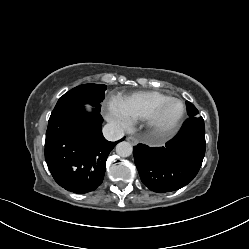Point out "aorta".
I'll return each mask as SVG.
<instances>
[{"instance_id": "aorta-1", "label": "aorta", "mask_w": 249, "mask_h": 249, "mask_svg": "<svg viewBox=\"0 0 249 249\" xmlns=\"http://www.w3.org/2000/svg\"><path fill=\"white\" fill-rule=\"evenodd\" d=\"M132 145L129 142L122 141L116 145V153L120 157H128L132 154Z\"/></svg>"}]
</instances>
